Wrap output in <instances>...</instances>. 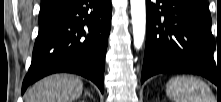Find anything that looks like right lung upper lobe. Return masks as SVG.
<instances>
[{"label":"right lung upper lobe","instance_id":"cb5924a9","mask_svg":"<svg viewBox=\"0 0 221 102\" xmlns=\"http://www.w3.org/2000/svg\"><path fill=\"white\" fill-rule=\"evenodd\" d=\"M67 0H42L40 11H53Z\"/></svg>","mask_w":221,"mask_h":102}]
</instances>
